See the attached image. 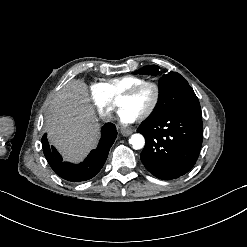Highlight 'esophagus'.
Returning a JSON list of instances; mask_svg holds the SVG:
<instances>
[{"label": "esophagus", "instance_id": "34e87169", "mask_svg": "<svg viewBox=\"0 0 247 247\" xmlns=\"http://www.w3.org/2000/svg\"><path fill=\"white\" fill-rule=\"evenodd\" d=\"M120 132H121V134L123 136L127 137V136H129V135H131L133 133V129L132 128L123 127V128L120 129Z\"/></svg>", "mask_w": 247, "mask_h": 247}]
</instances>
